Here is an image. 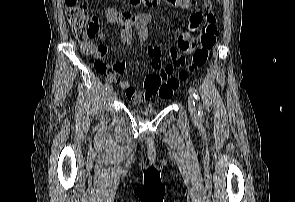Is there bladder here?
<instances>
[{"mask_svg": "<svg viewBox=\"0 0 295 202\" xmlns=\"http://www.w3.org/2000/svg\"><path fill=\"white\" fill-rule=\"evenodd\" d=\"M154 108L153 107H146L142 110H140L141 114L143 115H151L152 113H154Z\"/></svg>", "mask_w": 295, "mask_h": 202, "instance_id": "1", "label": "bladder"}]
</instances>
